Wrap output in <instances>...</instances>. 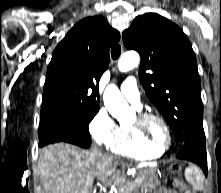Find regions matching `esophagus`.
Segmentation results:
<instances>
[{
	"mask_svg": "<svg viewBox=\"0 0 221 193\" xmlns=\"http://www.w3.org/2000/svg\"><path fill=\"white\" fill-rule=\"evenodd\" d=\"M120 45L121 46L123 45L122 35H121V38H120Z\"/></svg>",
	"mask_w": 221,
	"mask_h": 193,
	"instance_id": "1",
	"label": "esophagus"
}]
</instances>
